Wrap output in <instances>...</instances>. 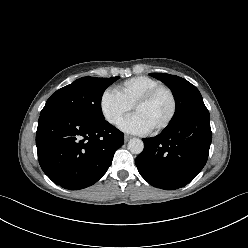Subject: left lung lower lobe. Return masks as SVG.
Segmentation results:
<instances>
[{"label":"left lung lower lobe","mask_w":248,"mask_h":248,"mask_svg":"<svg viewBox=\"0 0 248 248\" xmlns=\"http://www.w3.org/2000/svg\"><path fill=\"white\" fill-rule=\"evenodd\" d=\"M212 140L209 112H198L144 138L136 158L141 176L151 185L174 190L192 181L205 166Z\"/></svg>","instance_id":"1"}]
</instances>
